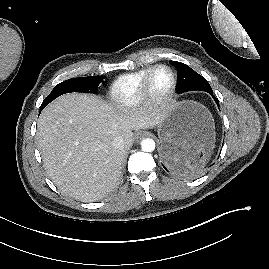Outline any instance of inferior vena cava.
I'll list each match as a JSON object with an SVG mask.
<instances>
[{
    "instance_id": "1",
    "label": "inferior vena cava",
    "mask_w": 269,
    "mask_h": 269,
    "mask_svg": "<svg viewBox=\"0 0 269 269\" xmlns=\"http://www.w3.org/2000/svg\"><path fill=\"white\" fill-rule=\"evenodd\" d=\"M112 145L117 149L124 148V140L121 137H115L112 141Z\"/></svg>"
}]
</instances>
